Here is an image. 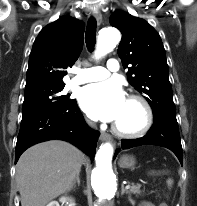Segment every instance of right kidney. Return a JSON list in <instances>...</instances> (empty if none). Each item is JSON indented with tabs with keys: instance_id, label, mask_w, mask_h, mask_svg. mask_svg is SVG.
I'll use <instances>...</instances> for the list:
<instances>
[{
	"instance_id": "ca27d5eb",
	"label": "right kidney",
	"mask_w": 197,
	"mask_h": 206,
	"mask_svg": "<svg viewBox=\"0 0 197 206\" xmlns=\"http://www.w3.org/2000/svg\"><path fill=\"white\" fill-rule=\"evenodd\" d=\"M59 202H61V203H70V204H72V203H74V199L73 198H71V197H61L60 199H59ZM59 202L58 201H52V202H50L48 205H46V206H60L59 205Z\"/></svg>"
}]
</instances>
